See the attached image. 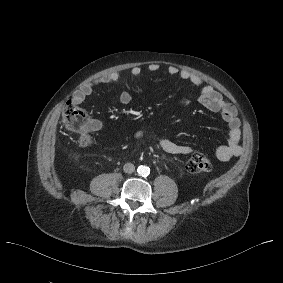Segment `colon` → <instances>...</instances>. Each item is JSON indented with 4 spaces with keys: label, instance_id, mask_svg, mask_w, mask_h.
Wrapping results in <instances>:
<instances>
[{
    "label": "colon",
    "instance_id": "5ec220e1",
    "mask_svg": "<svg viewBox=\"0 0 283 283\" xmlns=\"http://www.w3.org/2000/svg\"><path fill=\"white\" fill-rule=\"evenodd\" d=\"M62 123L66 130L77 135L81 146H89L92 143L90 135L85 131L89 117L84 110L72 101H68L63 108ZM185 167L191 173H206L211 172L214 165L208 157L196 153L187 159Z\"/></svg>",
    "mask_w": 283,
    "mask_h": 283
}]
</instances>
